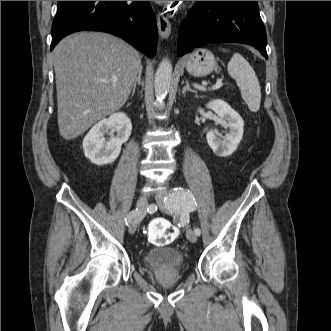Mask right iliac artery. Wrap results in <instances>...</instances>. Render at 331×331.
Instances as JSON below:
<instances>
[{
	"mask_svg": "<svg viewBox=\"0 0 331 331\" xmlns=\"http://www.w3.org/2000/svg\"><path fill=\"white\" fill-rule=\"evenodd\" d=\"M136 214H137V210H133L128 213L127 217L125 218V222L127 226H129V224L131 223L132 219L135 217Z\"/></svg>",
	"mask_w": 331,
	"mask_h": 331,
	"instance_id": "82829eb1",
	"label": "right iliac artery"
}]
</instances>
